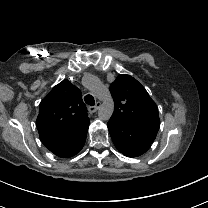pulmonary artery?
Here are the masks:
<instances>
[{
  "label": "pulmonary artery",
  "instance_id": "e3ab8cb5",
  "mask_svg": "<svg viewBox=\"0 0 208 208\" xmlns=\"http://www.w3.org/2000/svg\"><path fill=\"white\" fill-rule=\"evenodd\" d=\"M90 83H91L92 85H97V84H98L97 80H91Z\"/></svg>",
  "mask_w": 208,
  "mask_h": 208
}]
</instances>
